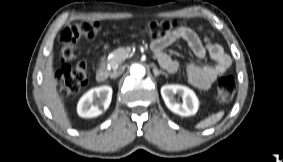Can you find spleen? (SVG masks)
<instances>
[{
  "label": "spleen",
  "mask_w": 283,
  "mask_h": 162,
  "mask_svg": "<svg viewBox=\"0 0 283 162\" xmlns=\"http://www.w3.org/2000/svg\"><path fill=\"white\" fill-rule=\"evenodd\" d=\"M223 115H224V111H219L218 113L212 114L211 116L207 117L206 119L200 121L195 127L197 129H203V128L210 127V126L216 124L219 120H221Z\"/></svg>",
  "instance_id": "1"
}]
</instances>
